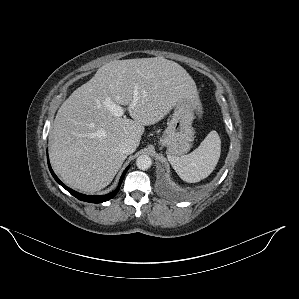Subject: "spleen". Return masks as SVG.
Masks as SVG:
<instances>
[{"instance_id": "spleen-1", "label": "spleen", "mask_w": 299, "mask_h": 299, "mask_svg": "<svg viewBox=\"0 0 299 299\" xmlns=\"http://www.w3.org/2000/svg\"><path fill=\"white\" fill-rule=\"evenodd\" d=\"M220 153L221 140L218 133L213 130L194 151L181 157L168 156V160L183 181L196 183L213 172Z\"/></svg>"}]
</instances>
